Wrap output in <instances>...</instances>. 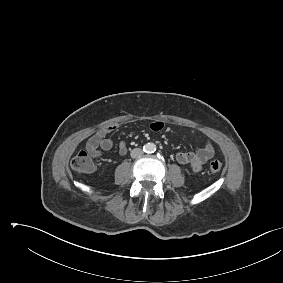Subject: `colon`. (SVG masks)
I'll use <instances>...</instances> for the list:
<instances>
[{"label": "colon", "mask_w": 283, "mask_h": 283, "mask_svg": "<svg viewBox=\"0 0 283 283\" xmlns=\"http://www.w3.org/2000/svg\"><path fill=\"white\" fill-rule=\"evenodd\" d=\"M71 168L76 172L88 173L94 168L93 155L85 146L71 160ZM212 173H218L222 169V164L218 160L211 161L209 165Z\"/></svg>", "instance_id": "1"}]
</instances>
